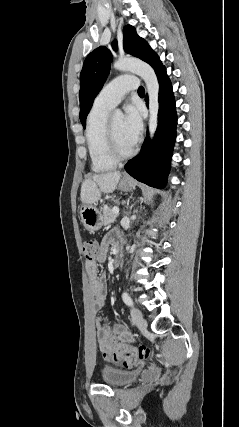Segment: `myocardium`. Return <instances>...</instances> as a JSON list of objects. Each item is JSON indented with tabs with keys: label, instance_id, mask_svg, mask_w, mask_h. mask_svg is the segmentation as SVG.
Listing matches in <instances>:
<instances>
[{
	"label": "myocardium",
	"instance_id": "myocardium-1",
	"mask_svg": "<svg viewBox=\"0 0 239 427\" xmlns=\"http://www.w3.org/2000/svg\"><path fill=\"white\" fill-rule=\"evenodd\" d=\"M106 148L108 155L115 161L120 162L129 159L136 153V146L128 152H121L117 146L115 135L112 128L111 119L106 124Z\"/></svg>",
	"mask_w": 239,
	"mask_h": 427
}]
</instances>
